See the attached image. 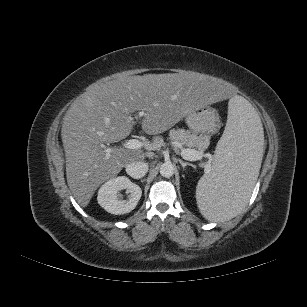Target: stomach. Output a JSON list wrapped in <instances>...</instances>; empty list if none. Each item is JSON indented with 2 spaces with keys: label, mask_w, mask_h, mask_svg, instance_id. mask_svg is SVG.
Instances as JSON below:
<instances>
[{
  "label": "stomach",
  "mask_w": 307,
  "mask_h": 307,
  "mask_svg": "<svg viewBox=\"0 0 307 307\" xmlns=\"http://www.w3.org/2000/svg\"><path fill=\"white\" fill-rule=\"evenodd\" d=\"M190 130L196 133L213 134L220 127V118L217 111L211 107L197 108L185 116Z\"/></svg>",
  "instance_id": "obj_1"
}]
</instances>
